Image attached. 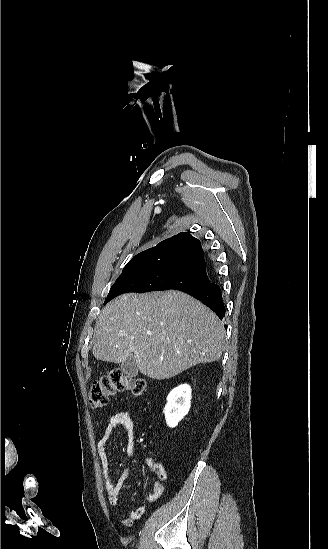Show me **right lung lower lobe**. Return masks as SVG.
<instances>
[{
	"label": "right lung lower lobe",
	"mask_w": 328,
	"mask_h": 549,
	"mask_svg": "<svg viewBox=\"0 0 328 549\" xmlns=\"http://www.w3.org/2000/svg\"><path fill=\"white\" fill-rule=\"evenodd\" d=\"M183 291L202 301L206 306L213 310L220 319L224 318L225 306L222 299L221 289L217 284L208 282L207 284Z\"/></svg>",
	"instance_id": "obj_1"
}]
</instances>
